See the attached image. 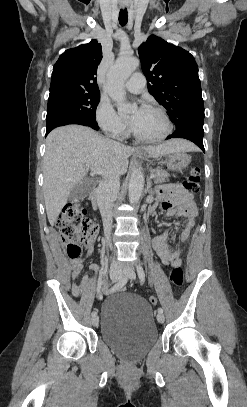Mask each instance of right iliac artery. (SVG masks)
I'll return each instance as SVG.
<instances>
[{
    "mask_svg": "<svg viewBox=\"0 0 247 407\" xmlns=\"http://www.w3.org/2000/svg\"><path fill=\"white\" fill-rule=\"evenodd\" d=\"M127 281H128V277L124 276L123 278H121V280L119 282H117L114 286L111 287L109 292L113 293V292L120 290L122 287H124L126 285ZM96 315H97V312L93 311L92 317H95Z\"/></svg>",
    "mask_w": 247,
    "mask_h": 407,
    "instance_id": "obj_1",
    "label": "right iliac artery"
}]
</instances>
